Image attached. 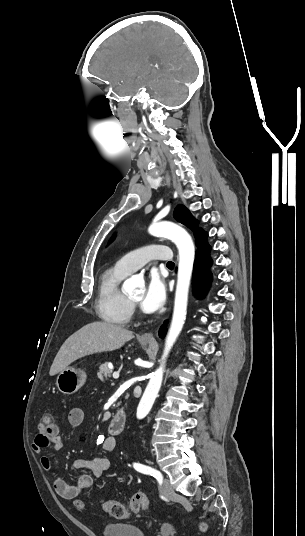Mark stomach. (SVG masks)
Wrapping results in <instances>:
<instances>
[{"mask_svg":"<svg viewBox=\"0 0 305 536\" xmlns=\"http://www.w3.org/2000/svg\"><path fill=\"white\" fill-rule=\"evenodd\" d=\"M148 344V342H142ZM86 374L76 368H66L59 372L56 380V386L62 394H75L86 382Z\"/></svg>","mask_w":305,"mask_h":536,"instance_id":"stomach-1","label":"stomach"}]
</instances>
